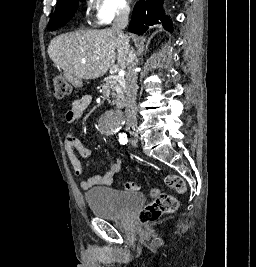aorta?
Segmentation results:
<instances>
[{
	"mask_svg": "<svg viewBox=\"0 0 256 267\" xmlns=\"http://www.w3.org/2000/svg\"><path fill=\"white\" fill-rule=\"evenodd\" d=\"M103 127H122L121 117H100ZM104 133H113V128H104Z\"/></svg>",
	"mask_w": 256,
	"mask_h": 267,
	"instance_id": "762f6f07",
	"label": "aorta"
}]
</instances>
